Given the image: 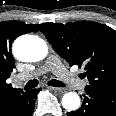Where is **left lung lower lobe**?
Wrapping results in <instances>:
<instances>
[{"instance_id":"0a47b994","label":"left lung lower lobe","mask_w":116,"mask_h":116,"mask_svg":"<svg viewBox=\"0 0 116 116\" xmlns=\"http://www.w3.org/2000/svg\"><path fill=\"white\" fill-rule=\"evenodd\" d=\"M79 110L67 116H116V90L86 86Z\"/></svg>"}]
</instances>
